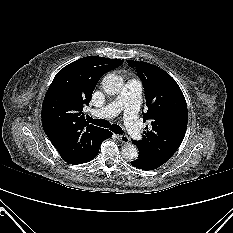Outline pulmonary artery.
Masks as SVG:
<instances>
[{
	"mask_svg": "<svg viewBox=\"0 0 233 233\" xmlns=\"http://www.w3.org/2000/svg\"><path fill=\"white\" fill-rule=\"evenodd\" d=\"M142 84L139 79L133 78L126 82L122 91L108 105L93 111L97 117H114L122 110L125 115V125L129 134L135 139H141V127L138 121V111L140 106V94Z\"/></svg>",
	"mask_w": 233,
	"mask_h": 233,
	"instance_id": "e3ab8cb5",
	"label": "pulmonary artery"
}]
</instances>
